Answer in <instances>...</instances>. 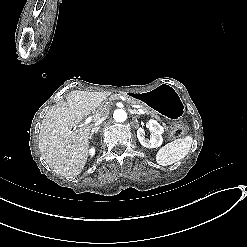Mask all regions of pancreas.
I'll use <instances>...</instances> for the list:
<instances>
[{
    "label": "pancreas",
    "instance_id": "obj_1",
    "mask_svg": "<svg viewBox=\"0 0 247 247\" xmlns=\"http://www.w3.org/2000/svg\"><path fill=\"white\" fill-rule=\"evenodd\" d=\"M117 99L126 100V102L129 105H132L134 108H137L139 106L140 109L145 110L146 114H151V116H155V120H159V124H161V126H165L166 128V121H164V119H161L160 113L152 111V109L147 104L141 103L139 105V103L137 101H134L132 97L125 96L124 94H118Z\"/></svg>",
    "mask_w": 247,
    "mask_h": 247
}]
</instances>
